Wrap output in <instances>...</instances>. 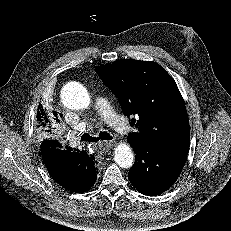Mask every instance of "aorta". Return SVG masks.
Listing matches in <instances>:
<instances>
[{"label": "aorta", "mask_w": 231, "mask_h": 231, "mask_svg": "<svg viewBox=\"0 0 231 231\" xmlns=\"http://www.w3.org/2000/svg\"><path fill=\"white\" fill-rule=\"evenodd\" d=\"M61 101L65 107L72 110H84L91 104V97L86 88L77 82L67 83L61 90ZM134 153L131 146L122 142L114 152V160L121 168H130L134 163Z\"/></svg>", "instance_id": "762f6f07"}]
</instances>
